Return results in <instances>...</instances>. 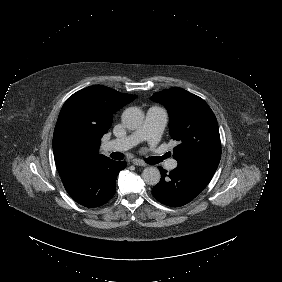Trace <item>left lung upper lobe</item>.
<instances>
[{"label": "left lung upper lobe", "instance_id": "left-lung-upper-lobe-1", "mask_svg": "<svg viewBox=\"0 0 282 282\" xmlns=\"http://www.w3.org/2000/svg\"><path fill=\"white\" fill-rule=\"evenodd\" d=\"M151 100L163 104L169 112L170 135L179 142L173 150L177 162L199 157L220 160L218 123L202 98L173 87L154 93Z\"/></svg>", "mask_w": 282, "mask_h": 282}]
</instances>
